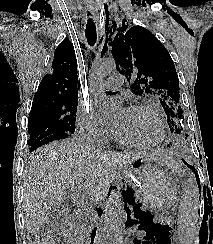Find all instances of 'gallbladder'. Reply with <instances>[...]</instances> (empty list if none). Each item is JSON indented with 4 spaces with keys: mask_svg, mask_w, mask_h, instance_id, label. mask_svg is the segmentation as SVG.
I'll use <instances>...</instances> for the list:
<instances>
[{
    "mask_svg": "<svg viewBox=\"0 0 213 244\" xmlns=\"http://www.w3.org/2000/svg\"><path fill=\"white\" fill-rule=\"evenodd\" d=\"M69 210L57 206L50 213L48 222L45 224V230H50L52 232H62L68 223Z\"/></svg>",
    "mask_w": 213,
    "mask_h": 244,
    "instance_id": "obj_1",
    "label": "gallbladder"
}]
</instances>
